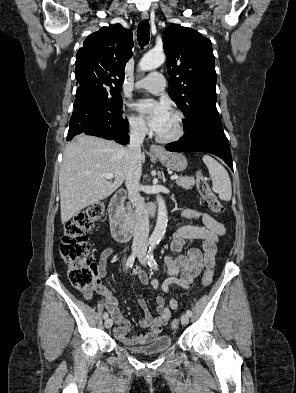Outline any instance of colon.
Returning <instances> with one entry per match:
<instances>
[{
  "label": "colon",
  "mask_w": 296,
  "mask_h": 393,
  "mask_svg": "<svg viewBox=\"0 0 296 393\" xmlns=\"http://www.w3.org/2000/svg\"><path fill=\"white\" fill-rule=\"evenodd\" d=\"M196 184L205 205L212 212L221 214L224 211L223 205L202 174L197 175ZM103 211L104 203L95 202L76 213L65 224L60 242V255L68 267L69 280L76 289L84 293L92 290L98 282L96 266L89 258L90 247L87 235ZM212 280L213 269L208 267L201 281L202 287H208ZM178 325V319L171 323L172 329H176Z\"/></svg>",
  "instance_id": "colon-1"
}]
</instances>
